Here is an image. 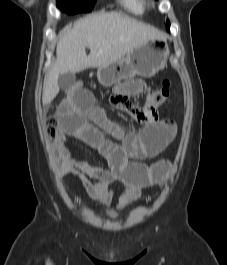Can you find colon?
<instances>
[{
    "mask_svg": "<svg viewBox=\"0 0 227 265\" xmlns=\"http://www.w3.org/2000/svg\"><path fill=\"white\" fill-rule=\"evenodd\" d=\"M70 87H82L80 83H75ZM67 91V90H66ZM171 82L164 80L161 87L151 92L146 100V103L141 107V112H133L136 119L149 124H154L158 121V107L166 103L170 97ZM59 121L56 118L48 120V131L53 139L58 135ZM170 163L167 160H161L154 163L151 167L152 175L157 179H162L168 171Z\"/></svg>",
    "mask_w": 227,
    "mask_h": 265,
    "instance_id": "5ec220e1",
    "label": "colon"
}]
</instances>
